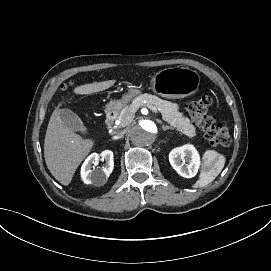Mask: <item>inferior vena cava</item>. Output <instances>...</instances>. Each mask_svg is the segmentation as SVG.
<instances>
[{"instance_id": "1", "label": "inferior vena cava", "mask_w": 271, "mask_h": 271, "mask_svg": "<svg viewBox=\"0 0 271 271\" xmlns=\"http://www.w3.org/2000/svg\"><path fill=\"white\" fill-rule=\"evenodd\" d=\"M123 135H124V132L121 131V132L116 133L112 138L113 139H118V138H121Z\"/></svg>"}]
</instances>
